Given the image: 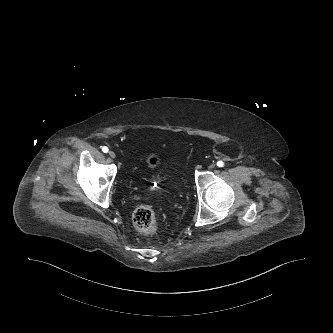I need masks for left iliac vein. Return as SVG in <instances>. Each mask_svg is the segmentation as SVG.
I'll use <instances>...</instances> for the list:
<instances>
[{"mask_svg":"<svg viewBox=\"0 0 333 333\" xmlns=\"http://www.w3.org/2000/svg\"><path fill=\"white\" fill-rule=\"evenodd\" d=\"M214 167H215L214 164H210L208 168H209V169H213Z\"/></svg>","mask_w":333,"mask_h":333,"instance_id":"left-iliac-vein-1","label":"left iliac vein"}]
</instances>
